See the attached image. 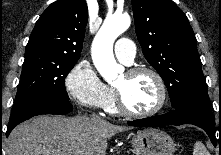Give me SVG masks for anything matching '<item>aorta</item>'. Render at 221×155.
Returning a JSON list of instances; mask_svg holds the SVG:
<instances>
[{
	"label": "aorta",
	"instance_id": "1",
	"mask_svg": "<svg viewBox=\"0 0 221 155\" xmlns=\"http://www.w3.org/2000/svg\"><path fill=\"white\" fill-rule=\"evenodd\" d=\"M131 24L128 15L107 17L92 43V60L104 80L110 82L118 77L121 66L113 55V43Z\"/></svg>",
	"mask_w": 221,
	"mask_h": 155
}]
</instances>
